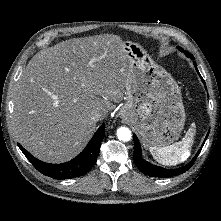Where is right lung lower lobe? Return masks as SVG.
Returning a JSON list of instances; mask_svg holds the SVG:
<instances>
[{
  "instance_id": "right-lung-lower-lobe-1",
  "label": "right lung lower lobe",
  "mask_w": 221,
  "mask_h": 221,
  "mask_svg": "<svg viewBox=\"0 0 221 221\" xmlns=\"http://www.w3.org/2000/svg\"><path fill=\"white\" fill-rule=\"evenodd\" d=\"M104 134L105 125L102 124L86 148L77 157L62 164L42 162L28 153L20 144H18V146L27 159L42 174L54 179H70L86 174L94 166Z\"/></svg>"
}]
</instances>
